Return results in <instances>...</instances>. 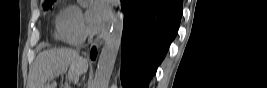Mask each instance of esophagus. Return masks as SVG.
<instances>
[{"label":"esophagus","mask_w":267,"mask_h":88,"mask_svg":"<svg viewBox=\"0 0 267 88\" xmlns=\"http://www.w3.org/2000/svg\"><path fill=\"white\" fill-rule=\"evenodd\" d=\"M108 29H109V25L103 29L100 34L96 37V39L94 40V45L97 47V48H100L104 41H105V38L107 36V33H108Z\"/></svg>","instance_id":"esophagus-1"}]
</instances>
